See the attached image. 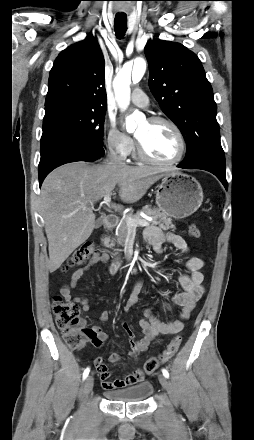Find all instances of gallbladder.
<instances>
[{
	"mask_svg": "<svg viewBox=\"0 0 254 440\" xmlns=\"http://www.w3.org/2000/svg\"><path fill=\"white\" fill-rule=\"evenodd\" d=\"M101 221H100V219H97L96 220V223H95V226L98 228V227H100L101 226Z\"/></svg>",
	"mask_w": 254,
	"mask_h": 440,
	"instance_id": "gallbladder-1",
	"label": "gallbladder"
}]
</instances>
